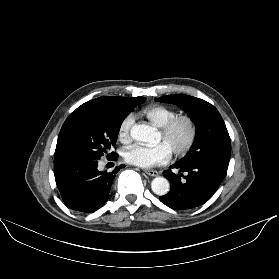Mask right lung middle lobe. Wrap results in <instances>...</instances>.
I'll return each mask as SVG.
<instances>
[{"instance_id": "1", "label": "right lung middle lobe", "mask_w": 279, "mask_h": 279, "mask_svg": "<svg viewBox=\"0 0 279 279\" xmlns=\"http://www.w3.org/2000/svg\"><path fill=\"white\" fill-rule=\"evenodd\" d=\"M145 100L138 97L134 103L93 107L66 119L58 136L54 162L99 160L116 144L125 117Z\"/></svg>"}]
</instances>
